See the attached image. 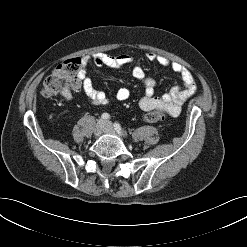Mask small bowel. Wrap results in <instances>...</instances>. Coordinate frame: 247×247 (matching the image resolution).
Wrapping results in <instances>:
<instances>
[{
	"label": "small bowel",
	"instance_id": "obj_1",
	"mask_svg": "<svg viewBox=\"0 0 247 247\" xmlns=\"http://www.w3.org/2000/svg\"><path fill=\"white\" fill-rule=\"evenodd\" d=\"M146 58L150 62H156L159 65L168 67L172 71L178 73L181 76L182 83L173 87L169 92L158 97L155 93V81L145 74V71L141 66L136 65L133 68L132 74L141 82L144 89L143 96L139 101L140 108L144 111L162 108L170 116H178L181 112L182 105L197 90V85L194 81L192 73L182 64L154 52H148L146 54ZM133 60V57L129 54L113 56L103 52L82 57L80 59L79 80L80 86L86 98L91 103L100 106L106 105L109 102V97L107 94L97 90L88 76V68L91 64H95L99 67L121 68L132 63ZM129 97L130 91L125 87L119 88L115 93V98L118 101H125Z\"/></svg>",
	"mask_w": 247,
	"mask_h": 247
}]
</instances>
